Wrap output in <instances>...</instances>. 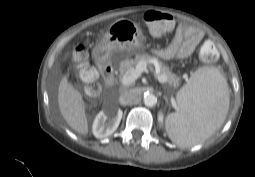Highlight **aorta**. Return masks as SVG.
Returning a JSON list of instances; mask_svg holds the SVG:
<instances>
[{"mask_svg":"<svg viewBox=\"0 0 255 177\" xmlns=\"http://www.w3.org/2000/svg\"><path fill=\"white\" fill-rule=\"evenodd\" d=\"M157 102V99L155 97L154 94L152 93H147L145 96H144V104L148 107H152L156 104Z\"/></svg>","mask_w":255,"mask_h":177,"instance_id":"1","label":"aorta"}]
</instances>
